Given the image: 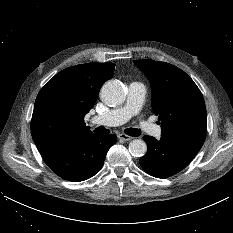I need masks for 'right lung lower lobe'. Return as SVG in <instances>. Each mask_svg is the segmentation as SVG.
<instances>
[{
  "label": "right lung lower lobe",
  "instance_id": "right-lung-lower-lobe-1",
  "mask_svg": "<svg viewBox=\"0 0 233 233\" xmlns=\"http://www.w3.org/2000/svg\"><path fill=\"white\" fill-rule=\"evenodd\" d=\"M115 135L91 134L75 138L40 152L49 168L63 179L80 182L93 177L102 168Z\"/></svg>",
  "mask_w": 233,
  "mask_h": 233
}]
</instances>
